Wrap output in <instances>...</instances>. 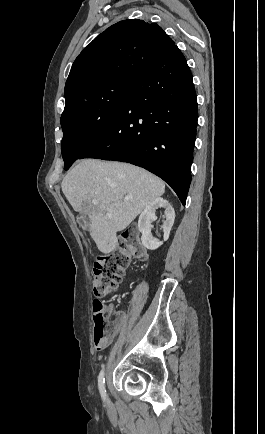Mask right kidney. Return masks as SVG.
I'll list each match as a JSON object with an SVG mask.
<instances>
[{"label":"right kidney","instance_id":"obj_1","mask_svg":"<svg viewBox=\"0 0 265 434\" xmlns=\"http://www.w3.org/2000/svg\"><path fill=\"white\" fill-rule=\"evenodd\" d=\"M158 208H165L166 220L163 222L162 226L164 232V242H167L171 228L174 224V208L168 204L167 200H163V198H155L151 204H148L144 212L140 214L138 220V230L142 234L141 242L143 246L147 248V250H157V248L163 244V242H157V240H153L150 228V222L153 220V218H155V212L158 210Z\"/></svg>","mask_w":265,"mask_h":434}]
</instances>
